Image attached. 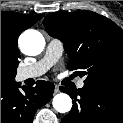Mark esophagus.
Instances as JSON below:
<instances>
[{
  "mask_svg": "<svg viewBox=\"0 0 123 123\" xmlns=\"http://www.w3.org/2000/svg\"><path fill=\"white\" fill-rule=\"evenodd\" d=\"M59 92H60L59 86L56 85L55 88H54V93L57 94V93H59Z\"/></svg>",
  "mask_w": 123,
  "mask_h": 123,
  "instance_id": "obj_1",
  "label": "esophagus"
}]
</instances>
